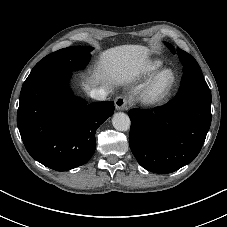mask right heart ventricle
Returning <instances> with one entry per match:
<instances>
[{
  "label": "right heart ventricle",
  "instance_id": "1",
  "mask_svg": "<svg viewBox=\"0 0 227 227\" xmlns=\"http://www.w3.org/2000/svg\"><path fill=\"white\" fill-rule=\"evenodd\" d=\"M163 63L157 59H150L144 61L141 65H139L134 71V77L136 79H143L151 76L156 71H158L162 67Z\"/></svg>",
  "mask_w": 227,
  "mask_h": 227
}]
</instances>
